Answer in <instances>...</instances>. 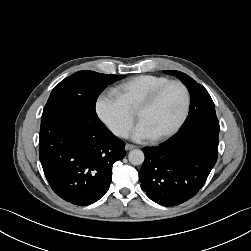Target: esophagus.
<instances>
[{
    "mask_svg": "<svg viewBox=\"0 0 251 251\" xmlns=\"http://www.w3.org/2000/svg\"><path fill=\"white\" fill-rule=\"evenodd\" d=\"M134 148H136L135 145L128 144V143L125 145V150H126V151L132 150V149H134Z\"/></svg>",
    "mask_w": 251,
    "mask_h": 251,
    "instance_id": "esophagus-1",
    "label": "esophagus"
}]
</instances>
